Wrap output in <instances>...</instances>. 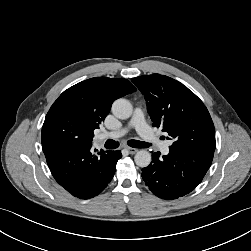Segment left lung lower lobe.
<instances>
[{"label": "left lung lower lobe", "instance_id": "1", "mask_svg": "<svg viewBox=\"0 0 251 251\" xmlns=\"http://www.w3.org/2000/svg\"><path fill=\"white\" fill-rule=\"evenodd\" d=\"M213 151L170 149L160 158L152 154V162L143 168L142 178L149 189L166 200L190 193L205 176L213 160Z\"/></svg>", "mask_w": 251, "mask_h": 251}]
</instances>
